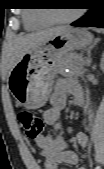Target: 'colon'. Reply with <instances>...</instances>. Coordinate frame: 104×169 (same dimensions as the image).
<instances>
[{"mask_svg": "<svg viewBox=\"0 0 104 169\" xmlns=\"http://www.w3.org/2000/svg\"><path fill=\"white\" fill-rule=\"evenodd\" d=\"M26 136L31 140H37L44 131L43 120L30 110H21L17 115Z\"/></svg>", "mask_w": 104, "mask_h": 169, "instance_id": "obj_1", "label": "colon"}]
</instances>
